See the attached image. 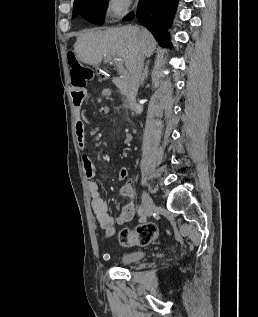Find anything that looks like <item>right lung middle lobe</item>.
Listing matches in <instances>:
<instances>
[{"label":"right lung middle lobe","instance_id":"right-lung-middle-lobe-1","mask_svg":"<svg viewBox=\"0 0 258 317\" xmlns=\"http://www.w3.org/2000/svg\"><path fill=\"white\" fill-rule=\"evenodd\" d=\"M107 5L108 0H74L72 18L81 15L91 23L102 25Z\"/></svg>","mask_w":258,"mask_h":317}]
</instances>
